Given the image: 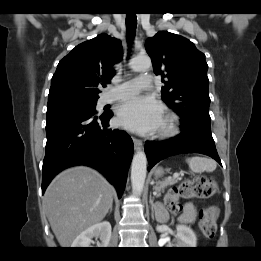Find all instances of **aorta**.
Listing matches in <instances>:
<instances>
[{
  "mask_svg": "<svg viewBox=\"0 0 261 261\" xmlns=\"http://www.w3.org/2000/svg\"><path fill=\"white\" fill-rule=\"evenodd\" d=\"M151 66L148 56H137L130 61V67L134 71H145ZM147 158L144 151H137L133 157L131 165V183L133 191L141 194L144 189L146 179Z\"/></svg>",
  "mask_w": 261,
  "mask_h": 261,
  "instance_id": "762f6f07",
  "label": "aorta"
}]
</instances>
